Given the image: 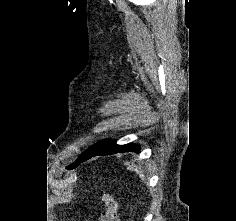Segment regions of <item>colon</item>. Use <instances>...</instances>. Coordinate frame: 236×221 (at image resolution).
Masks as SVG:
<instances>
[{
  "label": "colon",
  "mask_w": 236,
  "mask_h": 221,
  "mask_svg": "<svg viewBox=\"0 0 236 221\" xmlns=\"http://www.w3.org/2000/svg\"><path fill=\"white\" fill-rule=\"evenodd\" d=\"M103 205L100 221H120L119 205L113 194L107 193L103 196Z\"/></svg>",
  "instance_id": "1"
}]
</instances>
